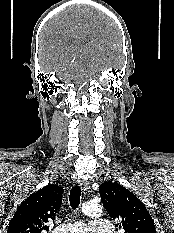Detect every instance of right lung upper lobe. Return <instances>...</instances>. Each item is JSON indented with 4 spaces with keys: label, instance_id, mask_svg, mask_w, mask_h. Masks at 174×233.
Returning <instances> with one entry per match:
<instances>
[{
    "label": "right lung upper lobe",
    "instance_id": "cb5924a9",
    "mask_svg": "<svg viewBox=\"0 0 174 233\" xmlns=\"http://www.w3.org/2000/svg\"><path fill=\"white\" fill-rule=\"evenodd\" d=\"M63 187L49 184L31 194L15 212L7 233H41L55 219L62 203Z\"/></svg>",
    "mask_w": 174,
    "mask_h": 233
}]
</instances>
